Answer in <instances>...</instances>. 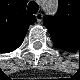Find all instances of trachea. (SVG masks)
<instances>
[{"label":"trachea","mask_w":80,"mask_h":80,"mask_svg":"<svg viewBox=\"0 0 80 80\" xmlns=\"http://www.w3.org/2000/svg\"><path fill=\"white\" fill-rule=\"evenodd\" d=\"M27 9H28V11H29L30 13L35 14V13H37L38 10H39V5H38L36 2L31 1V2L28 4Z\"/></svg>","instance_id":"obj_1"}]
</instances>
